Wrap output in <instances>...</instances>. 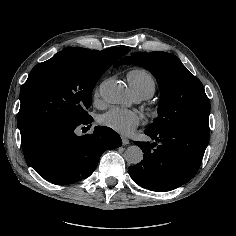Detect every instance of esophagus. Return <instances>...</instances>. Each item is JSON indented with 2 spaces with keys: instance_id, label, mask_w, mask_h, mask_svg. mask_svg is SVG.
I'll return each mask as SVG.
<instances>
[{
  "instance_id": "esophagus-1",
  "label": "esophagus",
  "mask_w": 236,
  "mask_h": 236,
  "mask_svg": "<svg viewBox=\"0 0 236 236\" xmlns=\"http://www.w3.org/2000/svg\"><path fill=\"white\" fill-rule=\"evenodd\" d=\"M121 140L123 145H128L130 143L129 139L126 138L125 136H121Z\"/></svg>"
}]
</instances>
